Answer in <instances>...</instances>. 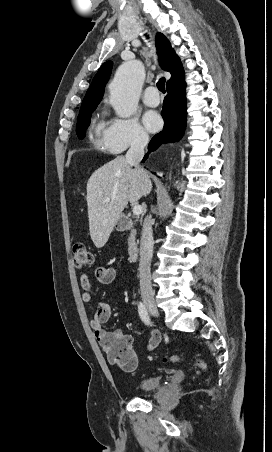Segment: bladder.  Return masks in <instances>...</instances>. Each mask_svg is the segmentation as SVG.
<instances>
[{
  "label": "bladder",
  "mask_w": 272,
  "mask_h": 452,
  "mask_svg": "<svg viewBox=\"0 0 272 452\" xmlns=\"http://www.w3.org/2000/svg\"><path fill=\"white\" fill-rule=\"evenodd\" d=\"M160 385L161 380L158 376H147L136 383V389L140 392H148L160 387Z\"/></svg>",
  "instance_id": "31cf9c89"
}]
</instances>
